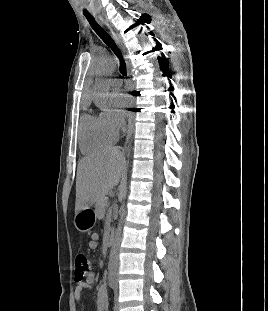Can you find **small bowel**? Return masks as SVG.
Here are the masks:
<instances>
[{"mask_svg":"<svg viewBox=\"0 0 268 311\" xmlns=\"http://www.w3.org/2000/svg\"><path fill=\"white\" fill-rule=\"evenodd\" d=\"M98 241L99 235L97 233H93L91 235V239L88 243V248L95 252L98 249ZM95 280V275L93 272H90L84 281H77L74 291V300L77 304H80L82 301V294L85 290H92L93 284ZM96 297V308L97 311H105L109 305V297L107 293V289L104 285L100 286L95 294Z\"/></svg>","mask_w":268,"mask_h":311,"instance_id":"1","label":"small bowel"}]
</instances>
